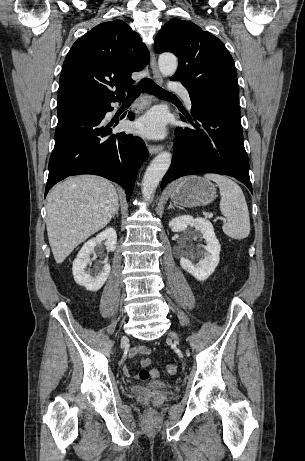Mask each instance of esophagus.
<instances>
[{"instance_id":"obj_1","label":"esophagus","mask_w":305,"mask_h":461,"mask_svg":"<svg viewBox=\"0 0 305 461\" xmlns=\"http://www.w3.org/2000/svg\"><path fill=\"white\" fill-rule=\"evenodd\" d=\"M150 67H151L152 75H153L155 82H157L158 84H162L163 79L159 72L156 58L152 50H151V56H150ZM162 148L163 146L161 144H150L148 146V151L151 155H154V154L159 153L162 150Z\"/></svg>"}]
</instances>
